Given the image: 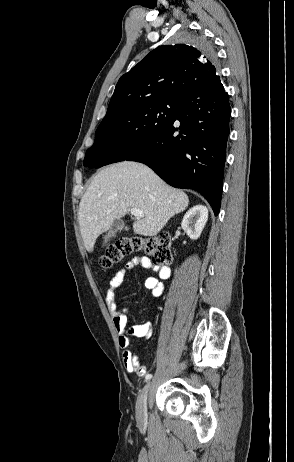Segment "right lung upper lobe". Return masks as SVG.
Segmentation results:
<instances>
[{"label": "right lung upper lobe", "instance_id": "right-lung-upper-lobe-1", "mask_svg": "<svg viewBox=\"0 0 294 462\" xmlns=\"http://www.w3.org/2000/svg\"><path fill=\"white\" fill-rule=\"evenodd\" d=\"M217 78L214 52L185 44L162 45L119 79L106 115L151 98L183 97Z\"/></svg>", "mask_w": 294, "mask_h": 462}]
</instances>
